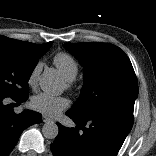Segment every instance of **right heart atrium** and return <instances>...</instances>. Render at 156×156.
I'll return each instance as SVG.
<instances>
[{
  "instance_id": "1",
  "label": "right heart atrium",
  "mask_w": 156,
  "mask_h": 156,
  "mask_svg": "<svg viewBox=\"0 0 156 156\" xmlns=\"http://www.w3.org/2000/svg\"><path fill=\"white\" fill-rule=\"evenodd\" d=\"M41 69H42V63L38 62L30 71L28 78H27V83L30 87L35 88L37 86L38 76H39Z\"/></svg>"
}]
</instances>
